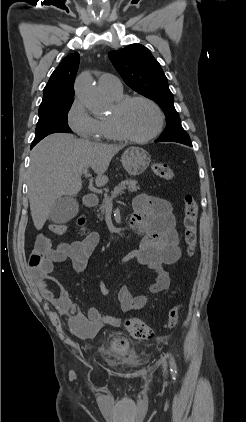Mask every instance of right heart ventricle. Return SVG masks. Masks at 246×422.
<instances>
[{"label": "right heart ventricle", "mask_w": 246, "mask_h": 422, "mask_svg": "<svg viewBox=\"0 0 246 422\" xmlns=\"http://www.w3.org/2000/svg\"><path fill=\"white\" fill-rule=\"evenodd\" d=\"M113 101H117L123 97V94H107ZM102 138L108 141H120L122 137L118 134L114 126L112 125L110 118L100 120Z\"/></svg>", "instance_id": "right-heart-ventricle-1"}]
</instances>
